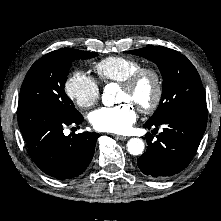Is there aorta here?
<instances>
[{
  "mask_svg": "<svg viewBox=\"0 0 221 221\" xmlns=\"http://www.w3.org/2000/svg\"><path fill=\"white\" fill-rule=\"evenodd\" d=\"M118 91L115 83H109L104 87L102 102L105 106H112L115 102L114 95ZM127 150L132 155H140L144 150V143L139 138H131L127 143Z\"/></svg>",
  "mask_w": 221,
  "mask_h": 221,
  "instance_id": "obj_1",
  "label": "aorta"
}]
</instances>
